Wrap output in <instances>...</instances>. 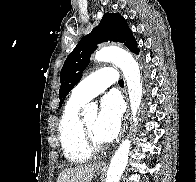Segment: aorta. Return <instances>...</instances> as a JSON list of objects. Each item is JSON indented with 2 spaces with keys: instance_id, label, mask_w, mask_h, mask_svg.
Wrapping results in <instances>:
<instances>
[{
  "instance_id": "762f6f07",
  "label": "aorta",
  "mask_w": 196,
  "mask_h": 182,
  "mask_svg": "<svg viewBox=\"0 0 196 182\" xmlns=\"http://www.w3.org/2000/svg\"><path fill=\"white\" fill-rule=\"evenodd\" d=\"M97 61H111L115 63L123 72L128 87V94L131 104L133 121L136 122V114L142 99V84L140 81V69L133 56L122 49L115 47L103 48L96 52ZM97 114V105L88 104L83 110L85 114ZM131 141L124 140L111 159L105 182H119L123 171L126 168Z\"/></svg>"
}]
</instances>
